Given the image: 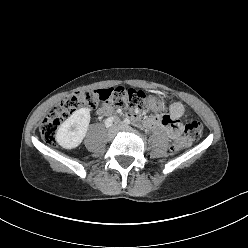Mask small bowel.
Returning <instances> with one entry per match:
<instances>
[{
  "instance_id": "obj_1",
  "label": "small bowel",
  "mask_w": 248,
  "mask_h": 248,
  "mask_svg": "<svg viewBox=\"0 0 248 248\" xmlns=\"http://www.w3.org/2000/svg\"><path fill=\"white\" fill-rule=\"evenodd\" d=\"M112 108L103 106L97 110V114L105 116L111 113ZM185 114V107L180 102L171 105L168 115H161L157 117H142L139 115H131L130 118L136 122H140L147 127H161L165 130L166 134L172 138H178L183 131L182 118Z\"/></svg>"
}]
</instances>
